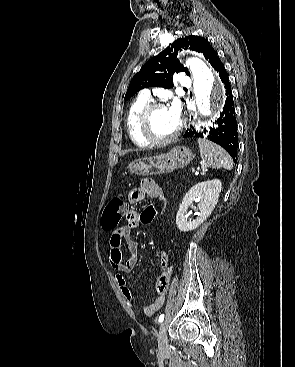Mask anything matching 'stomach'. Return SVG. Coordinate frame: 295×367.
<instances>
[{"label": "stomach", "instance_id": "stomach-1", "mask_svg": "<svg viewBox=\"0 0 295 367\" xmlns=\"http://www.w3.org/2000/svg\"><path fill=\"white\" fill-rule=\"evenodd\" d=\"M192 159L193 153L189 148L176 146L167 153L136 160L129 169L140 176L157 175L184 168Z\"/></svg>", "mask_w": 295, "mask_h": 367}]
</instances>
